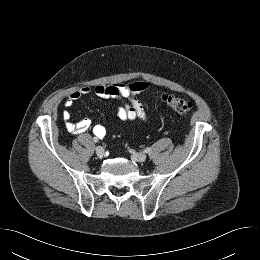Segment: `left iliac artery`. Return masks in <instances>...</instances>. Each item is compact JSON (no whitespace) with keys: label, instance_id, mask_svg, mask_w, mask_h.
Masks as SVG:
<instances>
[{"label":"left iliac artery","instance_id":"44dca946","mask_svg":"<svg viewBox=\"0 0 260 260\" xmlns=\"http://www.w3.org/2000/svg\"><path fill=\"white\" fill-rule=\"evenodd\" d=\"M144 152H145V153H150V152H151V148H150V147H147L146 149H144Z\"/></svg>","mask_w":260,"mask_h":260}]
</instances>
